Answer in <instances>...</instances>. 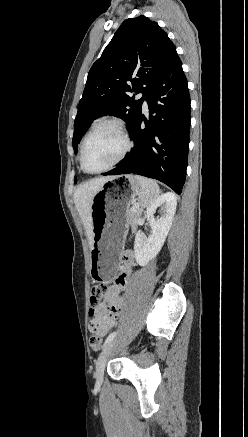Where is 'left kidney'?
Here are the masks:
<instances>
[{
    "label": "left kidney",
    "instance_id": "left-kidney-1",
    "mask_svg": "<svg viewBox=\"0 0 248 437\" xmlns=\"http://www.w3.org/2000/svg\"><path fill=\"white\" fill-rule=\"evenodd\" d=\"M176 206L177 197L172 192L159 196L147 206V221L152 234L146 237L138 231L134 242L135 258L140 266H146L160 252L171 228ZM158 208L160 216L155 218Z\"/></svg>",
    "mask_w": 248,
    "mask_h": 437
}]
</instances>
